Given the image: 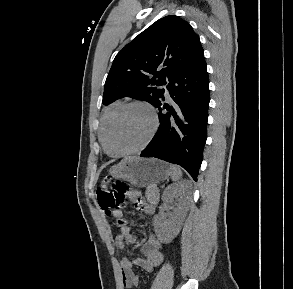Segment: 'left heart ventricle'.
Returning <instances> with one entry per match:
<instances>
[{
	"label": "left heart ventricle",
	"instance_id": "b2bd125f",
	"mask_svg": "<svg viewBox=\"0 0 293 289\" xmlns=\"http://www.w3.org/2000/svg\"><path fill=\"white\" fill-rule=\"evenodd\" d=\"M151 125V116L144 107L125 109L111 126L108 136L110 150L122 152L138 147L148 136Z\"/></svg>",
	"mask_w": 293,
	"mask_h": 289
}]
</instances>
